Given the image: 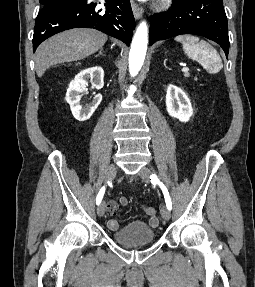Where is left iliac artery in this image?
I'll return each mask as SVG.
<instances>
[{
    "mask_svg": "<svg viewBox=\"0 0 255 287\" xmlns=\"http://www.w3.org/2000/svg\"><path fill=\"white\" fill-rule=\"evenodd\" d=\"M150 179H151L152 183L158 184L160 186V188L164 194L166 206L169 210H171L172 209V203H171L170 195H169V192H168L166 186L162 182H160L159 179L157 178V176L154 174H152L150 176Z\"/></svg>",
    "mask_w": 255,
    "mask_h": 287,
    "instance_id": "1",
    "label": "left iliac artery"
}]
</instances>
